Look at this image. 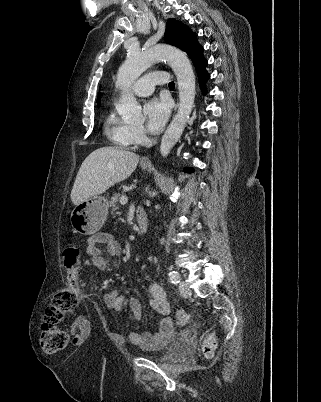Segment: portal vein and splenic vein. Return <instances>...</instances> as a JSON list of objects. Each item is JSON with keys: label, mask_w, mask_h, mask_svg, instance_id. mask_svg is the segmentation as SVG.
Returning a JSON list of instances; mask_svg holds the SVG:
<instances>
[{"label": "portal vein and splenic vein", "mask_w": 321, "mask_h": 402, "mask_svg": "<svg viewBox=\"0 0 321 402\" xmlns=\"http://www.w3.org/2000/svg\"><path fill=\"white\" fill-rule=\"evenodd\" d=\"M127 202H128L127 197L122 196V197L120 198V203H121V204H126Z\"/></svg>", "instance_id": "obj_1"}]
</instances>
